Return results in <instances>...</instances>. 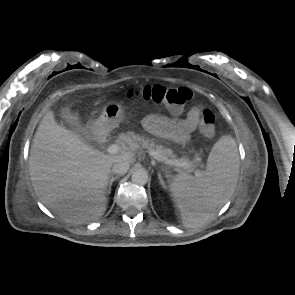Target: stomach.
Returning <instances> with one entry per match:
<instances>
[{"instance_id":"obj_1","label":"stomach","mask_w":295,"mask_h":295,"mask_svg":"<svg viewBox=\"0 0 295 295\" xmlns=\"http://www.w3.org/2000/svg\"><path fill=\"white\" fill-rule=\"evenodd\" d=\"M124 110L119 104H108L103 108L99 118L92 124L95 133L106 134L116 128L124 119Z\"/></svg>"}]
</instances>
